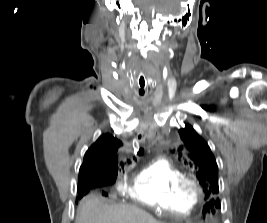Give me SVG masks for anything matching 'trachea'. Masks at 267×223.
<instances>
[{"mask_svg":"<svg viewBox=\"0 0 267 223\" xmlns=\"http://www.w3.org/2000/svg\"><path fill=\"white\" fill-rule=\"evenodd\" d=\"M137 84L140 88H145V85H146V77L141 74L139 77H138V80H137ZM143 95V94H142Z\"/></svg>","mask_w":267,"mask_h":223,"instance_id":"obj_1","label":"trachea"}]
</instances>
